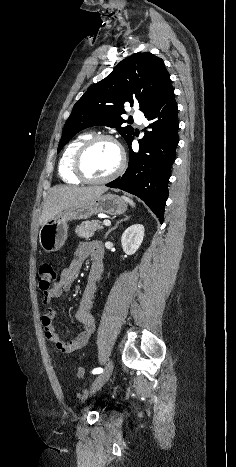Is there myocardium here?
Returning a JSON list of instances; mask_svg holds the SVG:
<instances>
[{
  "instance_id": "obj_1",
  "label": "myocardium",
  "mask_w": 236,
  "mask_h": 467,
  "mask_svg": "<svg viewBox=\"0 0 236 467\" xmlns=\"http://www.w3.org/2000/svg\"><path fill=\"white\" fill-rule=\"evenodd\" d=\"M107 140L112 142L119 152V163L116 169L103 178H93L87 174L84 168V159L89 149L98 141ZM126 165V156L119 142L109 134H96L88 138L76 151L73 160V172L81 180L86 183L100 184L106 183L117 178L124 170Z\"/></svg>"
}]
</instances>
